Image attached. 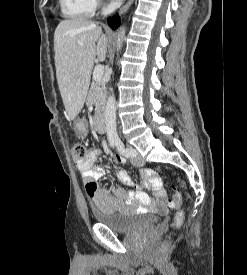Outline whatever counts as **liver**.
Wrapping results in <instances>:
<instances>
[{
  "instance_id": "obj_1",
  "label": "liver",
  "mask_w": 247,
  "mask_h": 275,
  "mask_svg": "<svg viewBox=\"0 0 247 275\" xmlns=\"http://www.w3.org/2000/svg\"><path fill=\"white\" fill-rule=\"evenodd\" d=\"M108 38L92 21L62 20L54 33L55 67L59 91L70 120L82 110L94 60L104 61Z\"/></svg>"
}]
</instances>
